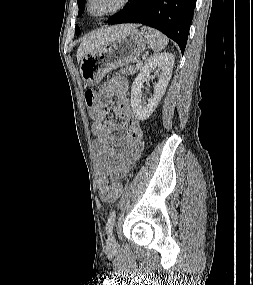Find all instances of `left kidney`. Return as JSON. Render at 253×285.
Instances as JSON below:
<instances>
[{
  "mask_svg": "<svg viewBox=\"0 0 253 285\" xmlns=\"http://www.w3.org/2000/svg\"><path fill=\"white\" fill-rule=\"evenodd\" d=\"M174 59V55L171 53L154 54L146 60L141 68L131 87V107L138 120L148 119L161 101L171 79ZM155 69L161 71L159 80L154 84L153 95L147 103L143 104L141 101L143 84L150 79V73Z\"/></svg>",
  "mask_w": 253,
  "mask_h": 285,
  "instance_id": "obj_1",
  "label": "left kidney"
}]
</instances>
